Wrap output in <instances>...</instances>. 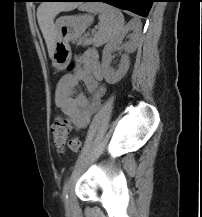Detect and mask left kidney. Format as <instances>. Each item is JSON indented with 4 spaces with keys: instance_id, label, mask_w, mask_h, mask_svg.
<instances>
[{
    "instance_id": "left-kidney-1",
    "label": "left kidney",
    "mask_w": 202,
    "mask_h": 217,
    "mask_svg": "<svg viewBox=\"0 0 202 217\" xmlns=\"http://www.w3.org/2000/svg\"><path fill=\"white\" fill-rule=\"evenodd\" d=\"M131 30H135L136 33L139 31V27L133 21H131L114 39H112L103 49L102 55V68L104 72V78L107 83L115 84L119 82L129 69V56L123 55L117 70L110 67L112 56L111 54L119 47L122 43L124 36ZM132 36V40L123 45L124 50L127 53L135 51L137 42Z\"/></svg>"
}]
</instances>
